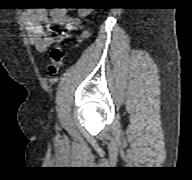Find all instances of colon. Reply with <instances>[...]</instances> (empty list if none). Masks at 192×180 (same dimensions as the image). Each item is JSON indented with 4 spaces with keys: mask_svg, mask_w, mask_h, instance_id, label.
I'll use <instances>...</instances> for the list:
<instances>
[{
    "mask_svg": "<svg viewBox=\"0 0 192 180\" xmlns=\"http://www.w3.org/2000/svg\"><path fill=\"white\" fill-rule=\"evenodd\" d=\"M64 60V52L60 45H54L49 53L48 73L50 75H56L62 68Z\"/></svg>",
    "mask_w": 192,
    "mask_h": 180,
    "instance_id": "colon-1",
    "label": "colon"
}]
</instances>
